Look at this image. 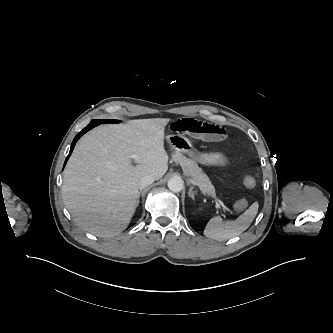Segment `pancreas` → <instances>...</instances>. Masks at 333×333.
Segmentation results:
<instances>
[{"mask_svg":"<svg viewBox=\"0 0 333 333\" xmlns=\"http://www.w3.org/2000/svg\"><path fill=\"white\" fill-rule=\"evenodd\" d=\"M173 159L182 166L184 173L190 177V181L199 186L203 193L209 196L215 195V188L212 182L197 163L186 158L180 152L173 154Z\"/></svg>","mask_w":333,"mask_h":333,"instance_id":"cf45deb5","label":"pancreas"}]
</instances>
